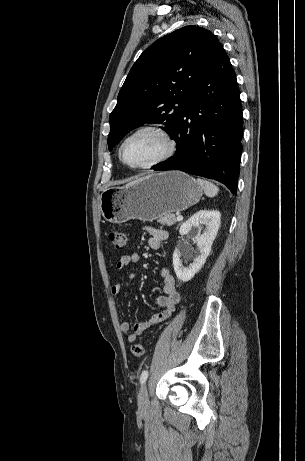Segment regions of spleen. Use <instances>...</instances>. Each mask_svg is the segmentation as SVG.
Instances as JSON below:
<instances>
[{"label":"spleen","mask_w":305,"mask_h":461,"mask_svg":"<svg viewBox=\"0 0 305 461\" xmlns=\"http://www.w3.org/2000/svg\"><path fill=\"white\" fill-rule=\"evenodd\" d=\"M196 181L202 187V189L204 190V193L206 194V196L214 197V196H216L218 194L219 189L213 183H211V182H209L207 180H204V179H200V178H197Z\"/></svg>","instance_id":"1"}]
</instances>
